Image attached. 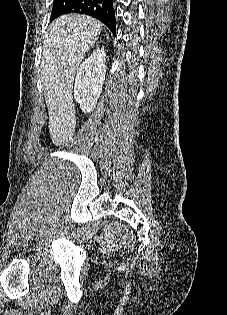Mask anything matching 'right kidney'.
<instances>
[{
	"label": "right kidney",
	"instance_id": "obj_1",
	"mask_svg": "<svg viewBox=\"0 0 227 315\" xmlns=\"http://www.w3.org/2000/svg\"><path fill=\"white\" fill-rule=\"evenodd\" d=\"M106 53L104 49H96L82 62L74 84V98L83 112L94 110L100 97L106 75Z\"/></svg>",
	"mask_w": 227,
	"mask_h": 315
}]
</instances>
